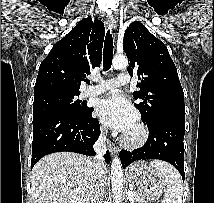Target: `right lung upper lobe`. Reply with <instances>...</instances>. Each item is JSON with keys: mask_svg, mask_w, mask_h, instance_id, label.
I'll return each instance as SVG.
<instances>
[{"mask_svg": "<svg viewBox=\"0 0 214 203\" xmlns=\"http://www.w3.org/2000/svg\"><path fill=\"white\" fill-rule=\"evenodd\" d=\"M105 34L100 20L82 19L41 62L34 98L52 93H80V84L101 63Z\"/></svg>", "mask_w": 214, "mask_h": 203, "instance_id": "right-lung-upper-lobe-1", "label": "right lung upper lobe"}]
</instances>
